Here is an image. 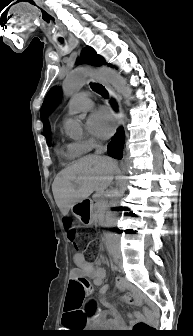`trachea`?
I'll return each instance as SVG.
<instances>
[{
  "mask_svg": "<svg viewBox=\"0 0 193 336\" xmlns=\"http://www.w3.org/2000/svg\"><path fill=\"white\" fill-rule=\"evenodd\" d=\"M61 42H63V41H61ZM91 87L94 91L99 93L102 97L106 98L108 96V92L103 85L98 84V83H93L91 85Z\"/></svg>",
  "mask_w": 193,
  "mask_h": 336,
  "instance_id": "obj_1",
  "label": "trachea"
}]
</instances>
